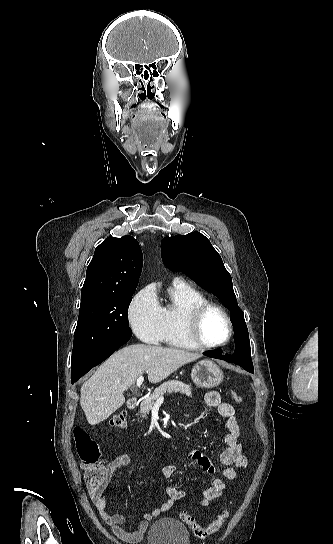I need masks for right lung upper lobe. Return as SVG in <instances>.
Instances as JSON below:
<instances>
[{
    "instance_id": "1",
    "label": "right lung upper lobe",
    "mask_w": 333,
    "mask_h": 544,
    "mask_svg": "<svg viewBox=\"0 0 333 544\" xmlns=\"http://www.w3.org/2000/svg\"><path fill=\"white\" fill-rule=\"evenodd\" d=\"M143 255L131 236L108 237L100 244L87 267L81 304L109 293L134 291L142 271Z\"/></svg>"
}]
</instances>
